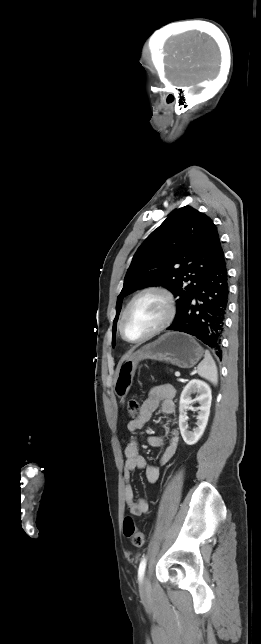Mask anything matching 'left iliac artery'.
Segmentation results:
<instances>
[{"label":"left iliac artery","mask_w":261,"mask_h":644,"mask_svg":"<svg viewBox=\"0 0 261 644\" xmlns=\"http://www.w3.org/2000/svg\"><path fill=\"white\" fill-rule=\"evenodd\" d=\"M146 561L147 560L144 557L140 562V565H139V568H138V579H139V581H142V579H143L145 568H146Z\"/></svg>","instance_id":"left-iliac-artery-1"}]
</instances>
